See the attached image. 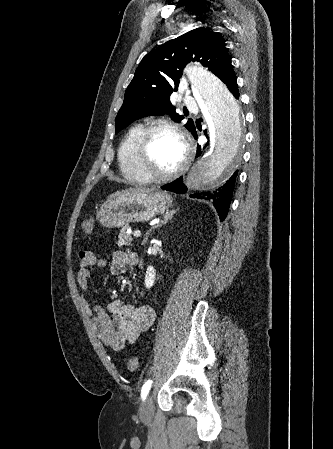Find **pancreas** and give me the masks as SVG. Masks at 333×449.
Here are the masks:
<instances>
[{"instance_id":"1","label":"pancreas","mask_w":333,"mask_h":449,"mask_svg":"<svg viewBox=\"0 0 333 449\" xmlns=\"http://www.w3.org/2000/svg\"><path fill=\"white\" fill-rule=\"evenodd\" d=\"M126 230H127V227H124L121 230V233L119 234V239L117 241L118 246H123V245L128 246L131 244L132 236L130 233H127Z\"/></svg>"}]
</instances>
